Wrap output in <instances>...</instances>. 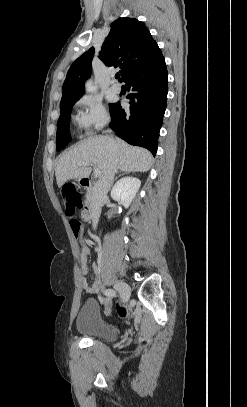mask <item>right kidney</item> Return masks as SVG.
Masks as SVG:
<instances>
[{"label": "right kidney", "instance_id": "1", "mask_svg": "<svg viewBox=\"0 0 247 407\" xmlns=\"http://www.w3.org/2000/svg\"><path fill=\"white\" fill-rule=\"evenodd\" d=\"M141 186V181L134 177H125L118 181L111 191V197L128 208ZM109 218L111 217L108 216Z\"/></svg>", "mask_w": 247, "mask_h": 407}]
</instances>
